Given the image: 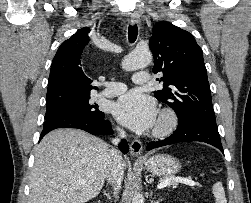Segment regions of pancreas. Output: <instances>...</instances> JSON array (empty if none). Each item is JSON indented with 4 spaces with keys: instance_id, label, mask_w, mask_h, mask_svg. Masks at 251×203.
I'll return each instance as SVG.
<instances>
[{
    "instance_id": "pancreas-1",
    "label": "pancreas",
    "mask_w": 251,
    "mask_h": 203,
    "mask_svg": "<svg viewBox=\"0 0 251 203\" xmlns=\"http://www.w3.org/2000/svg\"><path fill=\"white\" fill-rule=\"evenodd\" d=\"M169 180L171 181L170 184L177 185V182L172 181L173 178H169ZM163 181H164V180H163Z\"/></svg>"
}]
</instances>
